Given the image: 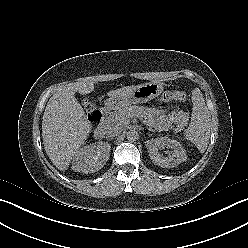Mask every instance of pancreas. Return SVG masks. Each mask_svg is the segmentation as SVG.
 I'll return each mask as SVG.
<instances>
[{
  "label": "pancreas",
  "mask_w": 248,
  "mask_h": 248,
  "mask_svg": "<svg viewBox=\"0 0 248 248\" xmlns=\"http://www.w3.org/2000/svg\"><path fill=\"white\" fill-rule=\"evenodd\" d=\"M133 116L140 117L150 130L167 131L174 124L178 129H182L188 121L187 113L183 111L172 112L171 115H163L155 108H147L143 106H127L119 110L111 112L108 116L109 124L124 127L129 124Z\"/></svg>",
  "instance_id": "1"
}]
</instances>
